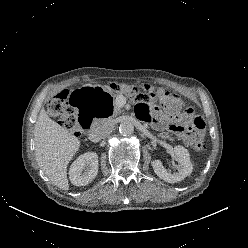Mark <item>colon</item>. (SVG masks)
<instances>
[{
  "label": "colon",
  "mask_w": 248,
  "mask_h": 248,
  "mask_svg": "<svg viewBox=\"0 0 248 248\" xmlns=\"http://www.w3.org/2000/svg\"><path fill=\"white\" fill-rule=\"evenodd\" d=\"M116 92H125L131 94L135 101L139 104H149L155 99L159 101L161 106L171 113L183 112L190 114V128L195 131H203L205 128V121L199 115H194L191 108H187L183 101L174 94L160 89L139 90L136 87L128 84H114L112 86ZM70 93L68 91H61L54 95L48 104L49 114L55 118L58 123L68 130L74 136H79L81 128H83L81 120L85 113L75 111L69 102ZM193 147L195 150H203L205 148L204 142L197 139Z\"/></svg>",
  "instance_id": "colon-1"
}]
</instances>
